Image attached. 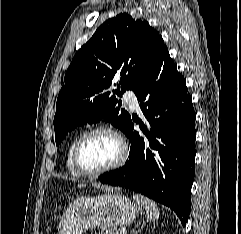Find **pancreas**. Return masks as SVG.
I'll return each mask as SVG.
<instances>
[{
  "instance_id": "pancreas-1",
  "label": "pancreas",
  "mask_w": 241,
  "mask_h": 234,
  "mask_svg": "<svg viewBox=\"0 0 241 234\" xmlns=\"http://www.w3.org/2000/svg\"><path fill=\"white\" fill-rule=\"evenodd\" d=\"M99 234H123L121 229L118 228H107L103 229Z\"/></svg>"
}]
</instances>
